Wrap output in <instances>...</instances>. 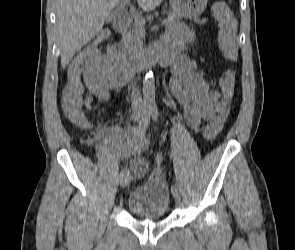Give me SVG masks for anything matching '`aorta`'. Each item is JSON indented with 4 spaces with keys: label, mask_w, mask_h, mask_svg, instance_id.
I'll use <instances>...</instances> for the list:
<instances>
[{
    "label": "aorta",
    "mask_w": 295,
    "mask_h": 250,
    "mask_svg": "<svg viewBox=\"0 0 295 250\" xmlns=\"http://www.w3.org/2000/svg\"><path fill=\"white\" fill-rule=\"evenodd\" d=\"M143 100L146 107L155 106V84L151 71L146 74L143 82Z\"/></svg>",
    "instance_id": "aorta-1"
}]
</instances>
